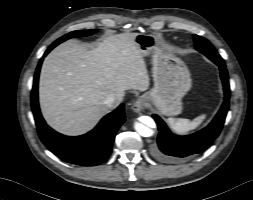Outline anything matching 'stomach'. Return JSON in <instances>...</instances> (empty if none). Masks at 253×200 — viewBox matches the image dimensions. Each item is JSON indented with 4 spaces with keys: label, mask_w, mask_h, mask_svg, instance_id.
<instances>
[{
    "label": "stomach",
    "mask_w": 253,
    "mask_h": 200,
    "mask_svg": "<svg viewBox=\"0 0 253 200\" xmlns=\"http://www.w3.org/2000/svg\"><path fill=\"white\" fill-rule=\"evenodd\" d=\"M134 42L144 57L152 54L154 87L146 94V98L163 115L180 114L181 99L192 84L187 66L155 35L137 33Z\"/></svg>",
    "instance_id": "1"
}]
</instances>
